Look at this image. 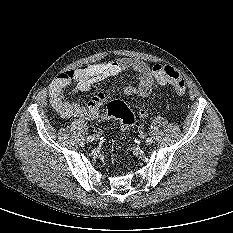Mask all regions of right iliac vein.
Here are the masks:
<instances>
[{"label":"right iliac vein","mask_w":233,"mask_h":233,"mask_svg":"<svg viewBox=\"0 0 233 233\" xmlns=\"http://www.w3.org/2000/svg\"><path fill=\"white\" fill-rule=\"evenodd\" d=\"M99 137L100 136L98 134L94 135V140H96V141L99 140Z\"/></svg>","instance_id":"63e3f726"}]
</instances>
